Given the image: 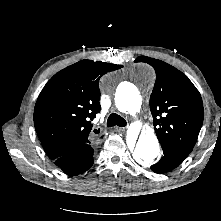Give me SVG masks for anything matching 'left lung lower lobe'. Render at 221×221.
<instances>
[{
	"mask_svg": "<svg viewBox=\"0 0 221 221\" xmlns=\"http://www.w3.org/2000/svg\"><path fill=\"white\" fill-rule=\"evenodd\" d=\"M164 156L159 162L151 166L152 171L158 174L169 172L179 166L189 152L170 146H162Z\"/></svg>",
	"mask_w": 221,
	"mask_h": 221,
	"instance_id": "obj_1",
	"label": "left lung lower lobe"
}]
</instances>
